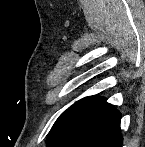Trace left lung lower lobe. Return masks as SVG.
Segmentation results:
<instances>
[{"label":"left lung lower lobe","mask_w":145,"mask_h":147,"mask_svg":"<svg viewBox=\"0 0 145 147\" xmlns=\"http://www.w3.org/2000/svg\"><path fill=\"white\" fill-rule=\"evenodd\" d=\"M121 115L97 95L84 98L61 137L48 147H121Z\"/></svg>","instance_id":"obj_1"}]
</instances>
